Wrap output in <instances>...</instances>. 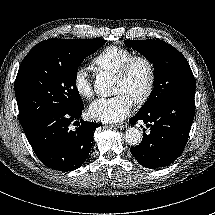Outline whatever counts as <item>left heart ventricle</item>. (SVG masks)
Returning a JSON list of instances; mask_svg holds the SVG:
<instances>
[{"label":"left heart ventricle","instance_id":"1","mask_svg":"<svg viewBox=\"0 0 215 215\" xmlns=\"http://www.w3.org/2000/svg\"><path fill=\"white\" fill-rule=\"evenodd\" d=\"M147 69L141 62L136 63L125 79L115 77L113 94H126L132 101L140 98L147 84Z\"/></svg>","mask_w":215,"mask_h":215}]
</instances>
